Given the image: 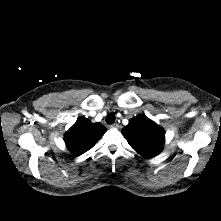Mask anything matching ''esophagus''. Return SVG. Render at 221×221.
Here are the masks:
<instances>
[{"instance_id": "obj_1", "label": "esophagus", "mask_w": 221, "mask_h": 221, "mask_svg": "<svg viewBox=\"0 0 221 221\" xmlns=\"http://www.w3.org/2000/svg\"><path fill=\"white\" fill-rule=\"evenodd\" d=\"M110 127L114 128V129H118L120 127V125L117 123H114V124L110 125Z\"/></svg>"}]
</instances>
